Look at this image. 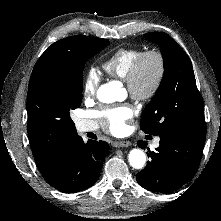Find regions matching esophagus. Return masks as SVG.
<instances>
[{"mask_svg": "<svg viewBox=\"0 0 221 221\" xmlns=\"http://www.w3.org/2000/svg\"><path fill=\"white\" fill-rule=\"evenodd\" d=\"M113 147L115 148H122V147H128L131 145L130 141H114L112 143Z\"/></svg>", "mask_w": 221, "mask_h": 221, "instance_id": "esophagus-1", "label": "esophagus"}]
</instances>
